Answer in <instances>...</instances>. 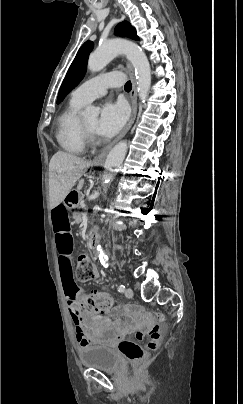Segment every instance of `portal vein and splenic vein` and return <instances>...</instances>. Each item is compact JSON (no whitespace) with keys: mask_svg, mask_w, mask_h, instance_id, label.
Segmentation results:
<instances>
[{"mask_svg":"<svg viewBox=\"0 0 243 404\" xmlns=\"http://www.w3.org/2000/svg\"><path fill=\"white\" fill-rule=\"evenodd\" d=\"M81 215H82V216H87V215H88V210L82 211V212H81Z\"/></svg>","mask_w":243,"mask_h":404,"instance_id":"1","label":"portal vein and splenic vein"}]
</instances>
